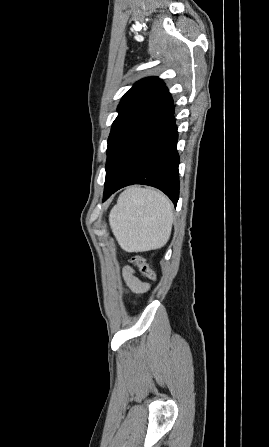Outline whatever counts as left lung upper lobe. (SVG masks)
I'll list each match as a JSON object with an SVG mask.
<instances>
[{
	"label": "left lung upper lobe",
	"mask_w": 269,
	"mask_h": 447,
	"mask_svg": "<svg viewBox=\"0 0 269 447\" xmlns=\"http://www.w3.org/2000/svg\"><path fill=\"white\" fill-rule=\"evenodd\" d=\"M172 98L157 77L138 81L122 98L108 138V185L144 136L168 113Z\"/></svg>",
	"instance_id": "1"
}]
</instances>
